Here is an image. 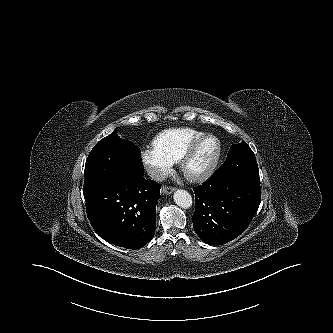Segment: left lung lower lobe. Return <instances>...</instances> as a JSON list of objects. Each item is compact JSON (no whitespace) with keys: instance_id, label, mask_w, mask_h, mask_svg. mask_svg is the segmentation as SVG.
Masks as SVG:
<instances>
[{"instance_id":"1","label":"left lung lower lobe","mask_w":333,"mask_h":333,"mask_svg":"<svg viewBox=\"0 0 333 333\" xmlns=\"http://www.w3.org/2000/svg\"><path fill=\"white\" fill-rule=\"evenodd\" d=\"M222 165L194 188L193 227L199 238L222 245L238 237L250 224L260 201V181L235 176Z\"/></svg>"}]
</instances>
